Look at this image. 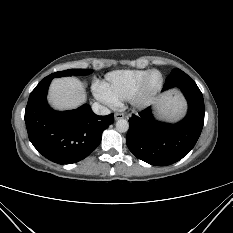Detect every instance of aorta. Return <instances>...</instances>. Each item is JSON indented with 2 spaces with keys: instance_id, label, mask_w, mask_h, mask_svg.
Returning <instances> with one entry per match:
<instances>
[{
  "instance_id": "1",
  "label": "aorta",
  "mask_w": 233,
  "mask_h": 233,
  "mask_svg": "<svg viewBox=\"0 0 233 233\" xmlns=\"http://www.w3.org/2000/svg\"><path fill=\"white\" fill-rule=\"evenodd\" d=\"M116 129L117 131L119 132H127L128 129H129V123L127 120L125 119H118L117 122H116Z\"/></svg>"
}]
</instances>
